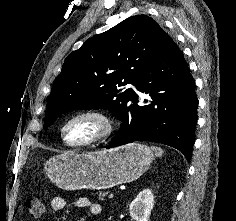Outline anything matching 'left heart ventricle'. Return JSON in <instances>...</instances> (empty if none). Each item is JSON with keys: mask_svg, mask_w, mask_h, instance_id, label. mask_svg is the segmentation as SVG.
I'll return each instance as SVG.
<instances>
[{"mask_svg": "<svg viewBox=\"0 0 236 221\" xmlns=\"http://www.w3.org/2000/svg\"><path fill=\"white\" fill-rule=\"evenodd\" d=\"M103 130L101 122L93 117H84L70 123L65 130V137L69 143L86 142Z\"/></svg>", "mask_w": 236, "mask_h": 221, "instance_id": "b2bd125f", "label": "left heart ventricle"}]
</instances>
